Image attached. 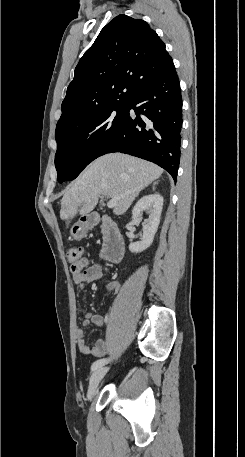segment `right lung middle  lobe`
Wrapping results in <instances>:
<instances>
[{
    "label": "right lung middle lobe",
    "mask_w": 245,
    "mask_h": 457,
    "mask_svg": "<svg viewBox=\"0 0 245 457\" xmlns=\"http://www.w3.org/2000/svg\"><path fill=\"white\" fill-rule=\"evenodd\" d=\"M128 115L129 100H121L57 126L58 182L75 179L91 161L106 154Z\"/></svg>",
    "instance_id": "1"
}]
</instances>
